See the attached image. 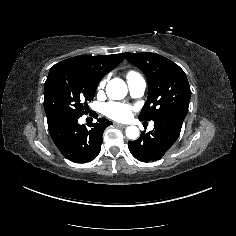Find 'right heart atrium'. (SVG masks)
<instances>
[{
    "label": "right heart atrium",
    "mask_w": 236,
    "mask_h": 236,
    "mask_svg": "<svg viewBox=\"0 0 236 236\" xmlns=\"http://www.w3.org/2000/svg\"><path fill=\"white\" fill-rule=\"evenodd\" d=\"M105 83H106L105 80H102V81L99 83V85H98V87H97V92H98V93L102 92V90H103V88H104V86H105Z\"/></svg>",
    "instance_id": "right-heart-atrium-1"
}]
</instances>
